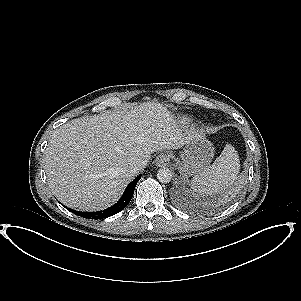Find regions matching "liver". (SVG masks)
<instances>
[{"mask_svg":"<svg viewBox=\"0 0 301 301\" xmlns=\"http://www.w3.org/2000/svg\"><path fill=\"white\" fill-rule=\"evenodd\" d=\"M188 139L170 112L149 103L73 119L48 141L47 182L67 207L103 210L119 200L135 176L132 164L148 163L152 153L179 148Z\"/></svg>","mask_w":301,"mask_h":301,"instance_id":"1","label":"liver"}]
</instances>
